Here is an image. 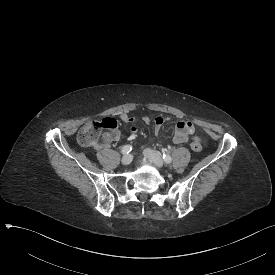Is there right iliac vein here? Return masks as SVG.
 <instances>
[{"mask_svg":"<svg viewBox=\"0 0 275 275\" xmlns=\"http://www.w3.org/2000/svg\"><path fill=\"white\" fill-rule=\"evenodd\" d=\"M132 160H133L132 155L127 154L123 156V158L121 159V162L123 165L127 166L132 162Z\"/></svg>","mask_w":275,"mask_h":275,"instance_id":"63e3f726","label":"right iliac vein"}]
</instances>
